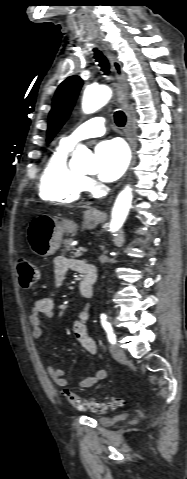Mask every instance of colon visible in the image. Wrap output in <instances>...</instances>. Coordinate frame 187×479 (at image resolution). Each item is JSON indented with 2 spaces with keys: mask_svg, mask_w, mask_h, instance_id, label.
Returning <instances> with one entry per match:
<instances>
[{
  "mask_svg": "<svg viewBox=\"0 0 187 479\" xmlns=\"http://www.w3.org/2000/svg\"><path fill=\"white\" fill-rule=\"evenodd\" d=\"M16 266L20 286L23 289L31 288L39 279L38 270L27 258L18 259ZM63 395L67 399V401L79 411L91 410L94 412L105 413L111 409L120 406L123 403L122 400L117 398H113L107 402L84 401L68 389L63 390Z\"/></svg>",
  "mask_w": 187,
  "mask_h": 479,
  "instance_id": "colon-1",
  "label": "colon"
}]
</instances>
